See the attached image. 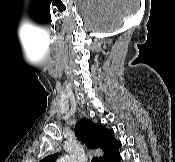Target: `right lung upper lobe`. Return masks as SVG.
Masks as SVG:
<instances>
[{
  "mask_svg": "<svg viewBox=\"0 0 175 162\" xmlns=\"http://www.w3.org/2000/svg\"><path fill=\"white\" fill-rule=\"evenodd\" d=\"M75 134L78 139L85 142L91 149H101L104 154L99 158V162L108 160L119 152L121 142L114 138V131L106 129L102 124H95L88 119L81 120L75 126ZM57 154H51L40 162H55Z\"/></svg>",
  "mask_w": 175,
  "mask_h": 162,
  "instance_id": "cb5924a9",
  "label": "right lung upper lobe"
}]
</instances>
